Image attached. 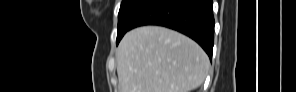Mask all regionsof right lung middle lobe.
<instances>
[{"label": "right lung middle lobe", "instance_id": "dd1d6c3e", "mask_svg": "<svg viewBox=\"0 0 296 92\" xmlns=\"http://www.w3.org/2000/svg\"><path fill=\"white\" fill-rule=\"evenodd\" d=\"M153 1L154 0H122L118 14L117 44L123 35L132 28L135 19Z\"/></svg>", "mask_w": 296, "mask_h": 92}]
</instances>
